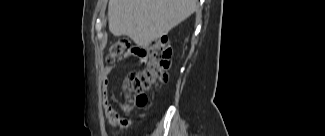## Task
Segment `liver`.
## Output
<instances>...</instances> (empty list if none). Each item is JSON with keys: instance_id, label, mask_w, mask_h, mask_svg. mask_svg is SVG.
<instances>
[{"instance_id": "6515ba94", "label": "liver", "mask_w": 325, "mask_h": 136, "mask_svg": "<svg viewBox=\"0 0 325 136\" xmlns=\"http://www.w3.org/2000/svg\"><path fill=\"white\" fill-rule=\"evenodd\" d=\"M197 0H109V30L126 35L139 47H147L187 19Z\"/></svg>"}]
</instances>
